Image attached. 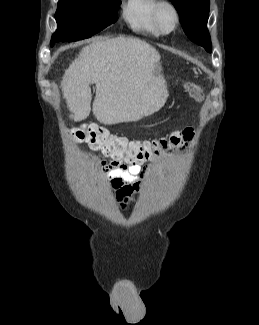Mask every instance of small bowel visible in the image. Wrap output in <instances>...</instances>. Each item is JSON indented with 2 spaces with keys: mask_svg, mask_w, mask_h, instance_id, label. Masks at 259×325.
I'll list each match as a JSON object with an SVG mask.
<instances>
[{
  "mask_svg": "<svg viewBox=\"0 0 259 325\" xmlns=\"http://www.w3.org/2000/svg\"><path fill=\"white\" fill-rule=\"evenodd\" d=\"M181 149L183 148H180L179 145L174 150ZM144 162L129 163L113 159L100 162L102 174L107 180L108 186L116 190L117 203L121 209L127 207V204L132 200V196L141 187V181L146 174V167L143 166Z\"/></svg>",
  "mask_w": 259,
  "mask_h": 325,
  "instance_id": "1",
  "label": "small bowel"
}]
</instances>
